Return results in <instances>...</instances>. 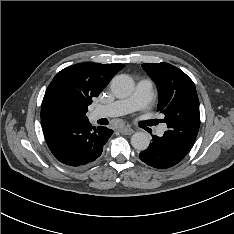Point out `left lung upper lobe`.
I'll use <instances>...</instances> for the list:
<instances>
[{
  "mask_svg": "<svg viewBox=\"0 0 234 234\" xmlns=\"http://www.w3.org/2000/svg\"><path fill=\"white\" fill-rule=\"evenodd\" d=\"M143 69L156 83L158 110L164 114L167 135L190 149L200 126L199 99L193 81L169 63H145Z\"/></svg>",
  "mask_w": 234,
  "mask_h": 234,
  "instance_id": "left-lung-upper-lobe-1",
  "label": "left lung upper lobe"
}]
</instances>
